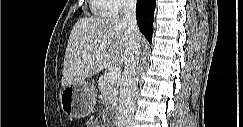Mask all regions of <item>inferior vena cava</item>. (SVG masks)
I'll return each mask as SVG.
<instances>
[{"label":"inferior vena cava","mask_w":243,"mask_h":127,"mask_svg":"<svg viewBox=\"0 0 243 127\" xmlns=\"http://www.w3.org/2000/svg\"><path fill=\"white\" fill-rule=\"evenodd\" d=\"M125 17L122 22L134 37L139 29L136 22V0H124ZM141 44L133 38L125 60V68L120 80L117 127H132L135 111L136 73L140 58Z\"/></svg>","instance_id":"inferior-vena-cava-1"}]
</instances>
